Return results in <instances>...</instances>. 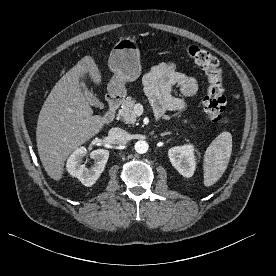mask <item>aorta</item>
<instances>
[{
  "label": "aorta",
  "mask_w": 276,
  "mask_h": 276,
  "mask_svg": "<svg viewBox=\"0 0 276 276\" xmlns=\"http://www.w3.org/2000/svg\"><path fill=\"white\" fill-rule=\"evenodd\" d=\"M135 151L139 154H144L148 151L149 145L146 141L140 140L135 143Z\"/></svg>",
  "instance_id": "obj_1"
}]
</instances>
